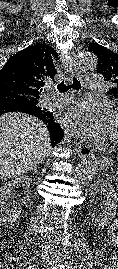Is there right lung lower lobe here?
<instances>
[{
	"label": "right lung lower lobe",
	"instance_id": "obj_1",
	"mask_svg": "<svg viewBox=\"0 0 118 269\" xmlns=\"http://www.w3.org/2000/svg\"><path fill=\"white\" fill-rule=\"evenodd\" d=\"M13 111H19V112L28 113L31 115H33L32 113L34 112L33 107L25 103H21L17 101L0 103V115L7 112H13ZM62 137H63V131L58 126L56 134L54 135V137H51V140L55 141V142H52V145H55L56 142H59L62 139Z\"/></svg>",
	"mask_w": 118,
	"mask_h": 269
}]
</instances>
